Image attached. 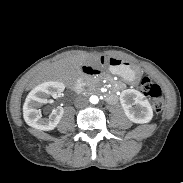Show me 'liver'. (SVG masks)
Segmentation results:
<instances>
[{
  "label": "liver",
  "mask_w": 183,
  "mask_h": 183,
  "mask_svg": "<svg viewBox=\"0 0 183 183\" xmlns=\"http://www.w3.org/2000/svg\"><path fill=\"white\" fill-rule=\"evenodd\" d=\"M87 58L88 55H82L54 63L47 72L48 78L63 82L75 79L79 74V65Z\"/></svg>",
  "instance_id": "1"
}]
</instances>
